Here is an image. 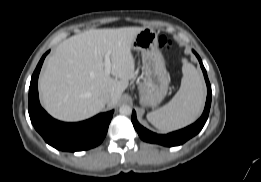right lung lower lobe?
<instances>
[{
  "label": "right lung lower lobe",
  "mask_w": 261,
  "mask_h": 182,
  "mask_svg": "<svg viewBox=\"0 0 261 182\" xmlns=\"http://www.w3.org/2000/svg\"><path fill=\"white\" fill-rule=\"evenodd\" d=\"M46 52L39 61L29 87V116L34 128L51 146L62 151H81L99 145L108 130L113 111L101 113L97 116L78 123H64L53 119L41 107L38 97V76Z\"/></svg>",
  "instance_id": "98d812e1"
}]
</instances>
